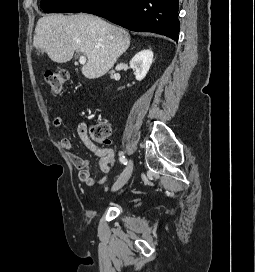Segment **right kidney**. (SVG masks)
<instances>
[{
  "label": "right kidney",
  "instance_id": "right-kidney-1",
  "mask_svg": "<svg viewBox=\"0 0 255 272\" xmlns=\"http://www.w3.org/2000/svg\"><path fill=\"white\" fill-rule=\"evenodd\" d=\"M152 61L153 52L151 50H142L130 60V67L134 71L136 80L141 81L145 78L150 69Z\"/></svg>",
  "mask_w": 255,
  "mask_h": 272
}]
</instances>
